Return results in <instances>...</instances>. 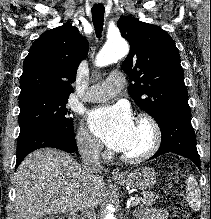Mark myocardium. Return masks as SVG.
<instances>
[{
  "mask_svg": "<svg viewBox=\"0 0 211 219\" xmlns=\"http://www.w3.org/2000/svg\"><path fill=\"white\" fill-rule=\"evenodd\" d=\"M137 124L146 126L150 132V142L148 146L139 153L121 155L122 160L128 163H140L152 157L160 148L162 141V132L157 121L148 114H140Z\"/></svg>",
  "mask_w": 211,
  "mask_h": 219,
  "instance_id": "obj_1",
  "label": "myocardium"
}]
</instances>
